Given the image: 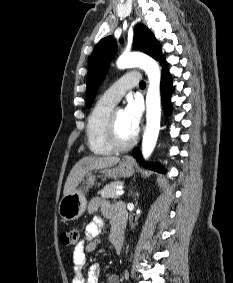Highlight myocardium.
Instances as JSON below:
<instances>
[{
	"label": "myocardium",
	"mask_w": 233,
	"mask_h": 283,
	"mask_svg": "<svg viewBox=\"0 0 233 283\" xmlns=\"http://www.w3.org/2000/svg\"><path fill=\"white\" fill-rule=\"evenodd\" d=\"M116 111L117 110H112L109 115L106 125L105 138L108 146L113 151H125L133 146L137 140L138 134L135 132L127 142L121 143L118 141L116 136Z\"/></svg>",
	"instance_id": "1"
}]
</instances>
